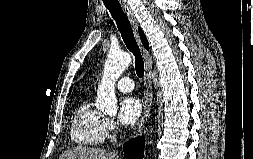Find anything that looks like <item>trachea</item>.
<instances>
[{"instance_id": "trachea-1", "label": "trachea", "mask_w": 253, "mask_h": 159, "mask_svg": "<svg viewBox=\"0 0 253 159\" xmlns=\"http://www.w3.org/2000/svg\"><path fill=\"white\" fill-rule=\"evenodd\" d=\"M104 4L110 11L113 19L115 20L118 30L121 33L123 41L130 52L135 57V70L139 78L144 75V61L137 45L136 39L133 34L132 27L125 13L122 10L120 3L117 0H105Z\"/></svg>"}]
</instances>
